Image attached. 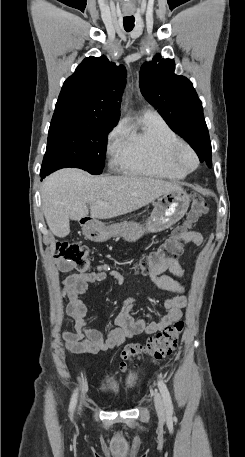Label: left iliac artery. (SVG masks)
Here are the masks:
<instances>
[{
    "mask_svg": "<svg viewBox=\"0 0 245 457\" xmlns=\"http://www.w3.org/2000/svg\"><path fill=\"white\" fill-rule=\"evenodd\" d=\"M158 387H159L160 393L162 395L167 413H172L173 404H172L171 396H170V393L168 391L166 384L163 381H159Z\"/></svg>",
    "mask_w": 245,
    "mask_h": 457,
    "instance_id": "44dca946",
    "label": "left iliac artery"
}]
</instances>
